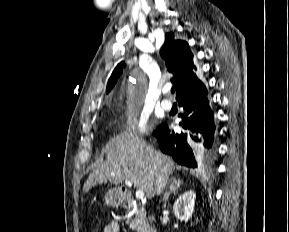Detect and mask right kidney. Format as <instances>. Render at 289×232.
I'll list each match as a JSON object with an SVG mask.
<instances>
[{
	"instance_id": "right-kidney-1",
	"label": "right kidney",
	"mask_w": 289,
	"mask_h": 232,
	"mask_svg": "<svg viewBox=\"0 0 289 232\" xmlns=\"http://www.w3.org/2000/svg\"><path fill=\"white\" fill-rule=\"evenodd\" d=\"M195 198V192L190 190L180 195L175 201L173 212L179 220L187 222L192 217Z\"/></svg>"
}]
</instances>
